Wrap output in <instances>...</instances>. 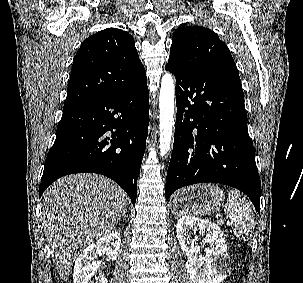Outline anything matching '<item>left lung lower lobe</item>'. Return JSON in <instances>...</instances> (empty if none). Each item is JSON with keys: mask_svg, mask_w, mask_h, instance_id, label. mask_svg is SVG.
Returning <instances> with one entry per match:
<instances>
[{"mask_svg": "<svg viewBox=\"0 0 303 283\" xmlns=\"http://www.w3.org/2000/svg\"><path fill=\"white\" fill-rule=\"evenodd\" d=\"M165 68L176 78L177 104L166 199L187 185L220 183L244 192L260 212L261 183L239 76L170 63Z\"/></svg>", "mask_w": 303, "mask_h": 283, "instance_id": "obj_1", "label": "left lung lower lobe"}]
</instances>
